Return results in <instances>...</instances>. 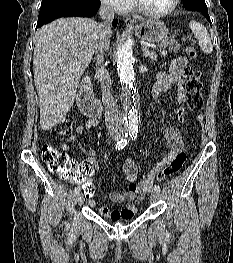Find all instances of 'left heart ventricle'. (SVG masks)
I'll use <instances>...</instances> for the list:
<instances>
[{
	"instance_id": "obj_1",
	"label": "left heart ventricle",
	"mask_w": 233,
	"mask_h": 263,
	"mask_svg": "<svg viewBox=\"0 0 233 263\" xmlns=\"http://www.w3.org/2000/svg\"><path fill=\"white\" fill-rule=\"evenodd\" d=\"M173 0H138L139 4L152 12H160L172 4Z\"/></svg>"
}]
</instances>
